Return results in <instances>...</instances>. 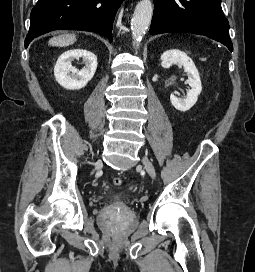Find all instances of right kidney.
<instances>
[{
	"label": "right kidney",
	"instance_id": "right-kidney-1",
	"mask_svg": "<svg viewBox=\"0 0 255 272\" xmlns=\"http://www.w3.org/2000/svg\"><path fill=\"white\" fill-rule=\"evenodd\" d=\"M79 58H82L86 65L80 71L71 64L73 59ZM97 65V57L92 52L84 49L68 50L58 58L54 75L56 81L65 89L79 90L93 78Z\"/></svg>",
	"mask_w": 255,
	"mask_h": 272
}]
</instances>
